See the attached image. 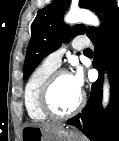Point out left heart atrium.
I'll return each mask as SVG.
<instances>
[{
	"instance_id": "39dd6f15",
	"label": "left heart atrium",
	"mask_w": 119,
	"mask_h": 141,
	"mask_svg": "<svg viewBox=\"0 0 119 141\" xmlns=\"http://www.w3.org/2000/svg\"><path fill=\"white\" fill-rule=\"evenodd\" d=\"M71 78L76 89L81 93L84 83L82 70L77 68L76 71L71 75Z\"/></svg>"
}]
</instances>
